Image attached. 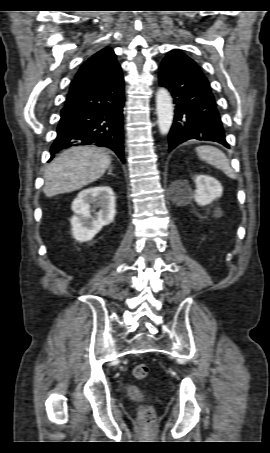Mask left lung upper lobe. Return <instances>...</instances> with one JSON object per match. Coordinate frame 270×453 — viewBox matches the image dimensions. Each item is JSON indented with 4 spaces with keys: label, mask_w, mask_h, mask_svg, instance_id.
<instances>
[{
    "label": "left lung upper lobe",
    "mask_w": 270,
    "mask_h": 453,
    "mask_svg": "<svg viewBox=\"0 0 270 453\" xmlns=\"http://www.w3.org/2000/svg\"><path fill=\"white\" fill-rule=\"evenodd\" d=\"M171 52H180V51H178V50H173V51H171ZM171 52H170V53H171Z\"/></svg>",
    "instance_id": "obj_1"
}]
</instances>
